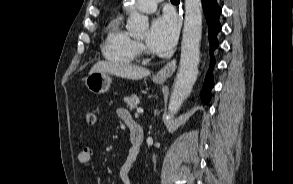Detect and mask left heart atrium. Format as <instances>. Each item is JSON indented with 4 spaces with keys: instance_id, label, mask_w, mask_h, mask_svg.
Segmentation results:
<instances>
[{
    "instance_id": "39dd6f15",
    "label": "left heart atrium",
    "mask_w": 293,
    "mask_h": 184,
    "mask_svg": "<svg viewBox=\"0 0 293 184\" xmlns=\"http://www.w3.org/2000/svg\"><path fill=\"white\" fill-rule=\"evenodd\" d=\"M179 24L171 14L157 16L151 23L147 37L148 47L157 53L169 51L175 44Z\"/></svg>"
}]
</instances>
